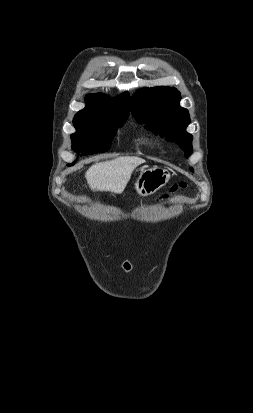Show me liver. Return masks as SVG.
Returning a JSON list of instances; mask_svg holds the SVG:
<instances>
[{
	"label": "liver",
	"instance_id": "1",
	"mask_svg": "<svg viewBox=\"0 0 253 413\" xmlns=\"http://www.w3.org/2000/svg\"><path fill=\"white\" fill-rule=\"evenodd\" d=\"M145 160L139 157H119L93 164L85 173L93 191H109L120 194L131 178L133 170Z\"/></svg>",
	"mask_w": 253,
	"mask_h": 413
}]
</instances>
